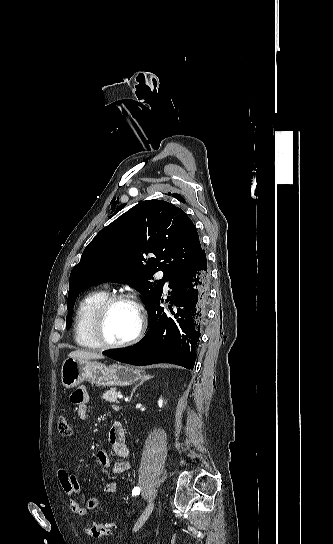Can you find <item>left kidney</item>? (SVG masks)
I'll return each mask as SVG.
<instances>
[{
	"mask_svg": "<svg viewBox=\"0 0 333 544\" xmlns=\"http://www.w3.org/2000/svg\"><path fill=\"white\" fill-rule=\"evenodd\" d=\"M158 406H159L160 408L163 407V400H162V398H160V399L158 400Z\"/></svg>",
	"mask_w": 333,
	"mask_h": 544,
	"instance_id": "obj_1",
	"label": "left kidney"
}]
</instances>
